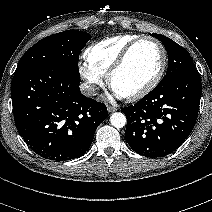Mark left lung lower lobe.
<instances>
[{"label": "left lung lower lobe", "mask_w": 212, "mask_h": 212, "mask_svg": "<svg viewBox=\"0 0 212 212\" xmlns=\"http://www.w3.org/2000/svg\"><path fill=\"white\" fill-rule=\"evenodd\" d=\"M201 92L200 76L193 71L156 86L134 106L122 108L130 147L152 158L174 152L195 125Z\"/></svg>", "instance_id": "1"}]
</instances>
